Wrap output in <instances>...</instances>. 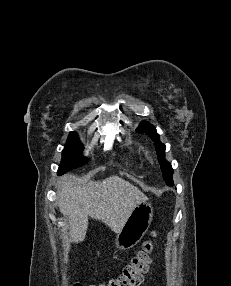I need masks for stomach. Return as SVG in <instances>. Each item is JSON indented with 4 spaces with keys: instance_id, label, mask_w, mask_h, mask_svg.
Wrapping results in <instances>:
<instances>
[{
    "instance_id": "stomach-1",
    "label": "stomach",
    "mask_w": 231,
    "mask_h": 286,
    "mask_svg": "<svg viewBox=\"0 0 231 286\" xmlns=\"http://www.w3.org/2000/svg\"><path fill=\"white\" fill-rule=\"evenodd\" d=\"M152 220V205L148 202L139 203L117 233L116 247L120 250H127L137 245L146 234Z\"/></svg>"
}]
</instances>
